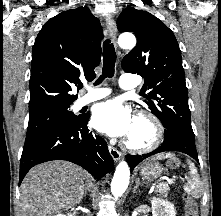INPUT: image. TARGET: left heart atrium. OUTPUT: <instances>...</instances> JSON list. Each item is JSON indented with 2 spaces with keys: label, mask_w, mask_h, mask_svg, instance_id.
<instances>
[{
  "label": "left heart atrium",
  "mask_w": 221,
  "mask_h": 216,
  "mask_svg": "<svg viewBox=\"0 0 221 216\" xmlns=\"http://www.w3.org/2000/svg\"><path fill=\"white\" fill-rule=\"evenodd\" d=\"M91 122L98 131L121 137L130 134L134 118L119 100L111 99L94 107Z\"/></svg>",
  "instance_id": "left-heart-atrium-1"
}]
</instances>
